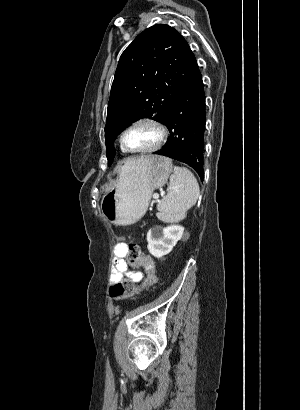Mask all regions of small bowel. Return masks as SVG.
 Wrapping results in <instances>:
<instances>
[{"label": "small bowel", "mask_w": 300, "mask_h": 410, "mask_svg": "<svg viewBox=\"0 0 300 410\" xmlns=\"http://www.w3.org/2000/svg\"><path fill=\"white\" fill-rule=\"evenodd\" d=\"M126 244L118 243L114 249L113 268L111 273V281L116 282L121 279H128L132 282H139L143 279L144 273L139 270H133L126 261Z\"/></svg>", "instance_id": "obj_1"}]
</instances>
